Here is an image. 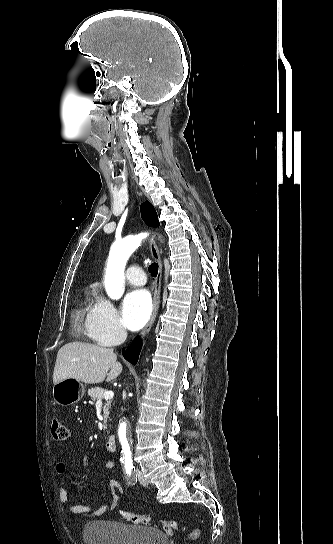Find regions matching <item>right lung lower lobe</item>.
Returning <instances> with one entry per match:
<instances>
[{
	"instance_id": "obj_1",
	"label": "right lung lower lobe",
	"mask_w": 333,
	"mask_h": 544,
	"mask_svg": "<svg viewBox=\"0 0 333 544\" xmlns=\"http://www.w3.org/2000/svg\"><path fill=\"white\" fill-rule=\"evenodd\" d=\"M141 346L139 342H134L125 352V350L122 351V354L124 358L129 361L132 364H136L139 357Z\"/></svg>"
}]
</instances>
